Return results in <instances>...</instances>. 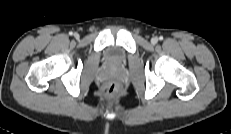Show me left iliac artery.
<instances>
[{"label":"left iliac artery","mask_w":231,"mask_h":134,"mask_svg":"<svg viewBox=\"0 0 231 134\" xmlns=\"http://www.w3.org/2000/svg\"><path fill=\"white\" fill-rule=\"evenodd\" d=\"M160 40H162L163 39V37L162 36H160V38H159Z\"/></svg>","instance_id":"obj_1"}]
</instances>
